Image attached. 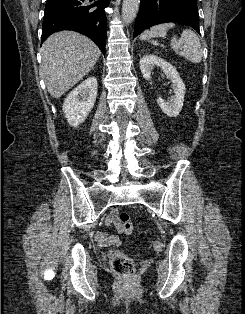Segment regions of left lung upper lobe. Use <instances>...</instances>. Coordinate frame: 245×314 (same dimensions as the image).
Returning <instances> with one entry per match:
<instances>
[{
  "label": "left lung upper lobe",
  "instance_id": "1",
  "mask_svg": "<svg viewBox=\"0 0 245 314\" xmlns=\"http://www.w3.org/2000/svg\"><path fill=\"white\" fill-rule=\"evenodd\" d=\"M190 1H192V2H194V3H197V0H190Z\"/></svg>",
  "mask_w": 245,
  "mask_h": 314
}]
</instances>
